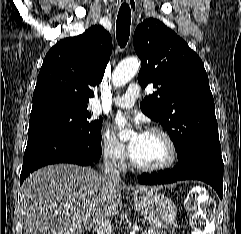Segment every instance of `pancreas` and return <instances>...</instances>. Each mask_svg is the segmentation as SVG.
<instances>
[{
	"label": "pancreas",
	"mask_w": 241,
	"mask_h": 234,
	"mask_svg": "<svg viewBox=\"0 0 241 234\" xmlns=\"http://www.w3.org/2000/svg\"><path fill=\"white\" fill-rule=\"evenodd\" d=\"M148 230H151V234H166L165 232L160 231L157 228H148Z\"/></svg>",
	"instance_id": "obj_1"
}]
</instances>
